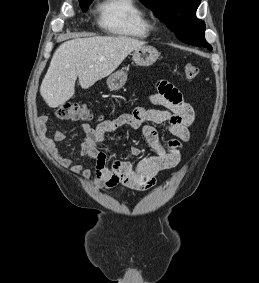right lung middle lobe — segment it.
<instances>
[{"instance_id":"obj_1","label":"right lung middle lobe","mask_w":259,"mask_h":283,"mask_svg":"<svg viewBox=\"0 0 259 283\" xmlns=\"http://www.w3.org/2000/svg\"><path fill=\"white\" fill-rule=\"evenodd\" d=\"M82 10L85 12L93 0H79Z\"/></svg>"}]
</instances>
